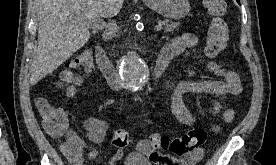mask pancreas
I'll return each mask as SVG.
<instances>
[{
    "instance_id": "1",
    "label": "pancreas",
    "mask_w": 276,
    "mask_h": 165,
    "mask_svg": "<svg viewBox=\"0 0 276 165\" xmlns=\"http://www.w3.org/2000/svg\"><path fill=\"white\" fill-rule=\"evenodd\" d=\"M163 23H164V26H165V29H164L165 32H172L179 25L178 22L164 21Z\"/></svg>"
}]
</instances>
